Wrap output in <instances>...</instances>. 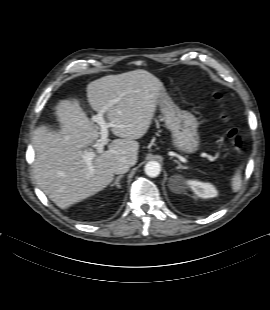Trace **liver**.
Listing matches in <instances>:
<instances>
[{"instance_id": "liver-1", "label": "liver", "mask_w": 270, "mask_h": 310, "mask_svg": "<svg viewBox=\"0 0 270 310\" xmlns=\"http://www.w3.org/2000/svg\"><path fill=\"white\" fill-rule=\"evenodd\" d=\"M164 96L160 80L142 69L104 76L87 85L90 106L97 112L106 109V119L114 124L111 132L120 137L97 153L92 170L82 159L81 149L98 139V126L77 100L59 101L54 109L60 130L49 132L41 125L33 136L34 173L40 189L61 209L103 190L113 180L115 163H137L139 143L135 140L147 133L158 99Z\"/></svg>"}]
</instances>
